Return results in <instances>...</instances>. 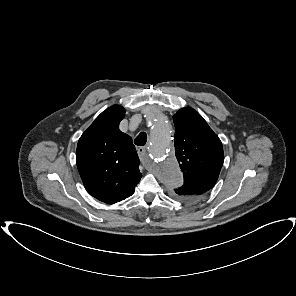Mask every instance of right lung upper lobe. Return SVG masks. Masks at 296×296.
I'll list each match as a JSON object with an SVG mask.
<instances>
[{
  "label": "right lung upper lobe",
  "instance_id": "1",
  "mask_svg": "<svg viewBox=\"0 0 296 296\" xmlns=\"http://www.w3.org/2000/svg\"><path fill=\"white\" fill-rule=\"evenodd\" d=\"M125 110L113 105L82 134L76 163L83 184L96 199L114 204L134 193L142 174L132 139L119 130Z\"/></svg>",
  "mask_w": 296,
  "mask_h": 296
}]
</instances>
